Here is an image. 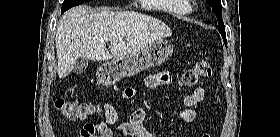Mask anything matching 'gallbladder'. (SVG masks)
<instances>
[{
	"label": "gallbladder",
	"mask_w": 280,
	"mask_h": 137,
	"mask_svg": "<svg viewBox=\"0 0 280 137\" xmlns=\"http://www.w3.org/2000/svg\"><path fill=\"white\" fill-rule=\"evenodd\" d=\"M89 65L88 59L85 58H79L74 63L73 71L76 74H81L86 71L87 67Z\"/></svg>",
	"instance_id": "obj_1"
}]
</instances>
